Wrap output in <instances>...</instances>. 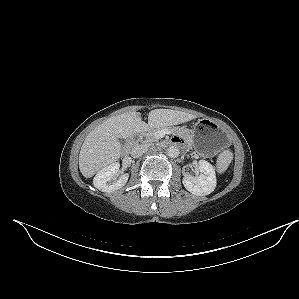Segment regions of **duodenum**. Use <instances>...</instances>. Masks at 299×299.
I'll list each match as a JSON object with an SVG mask.
<instances>
[{
    "instance_id": "410a0bca",
    "label": "duodenum",
    "mask_w": 299,
    "mask_h": 299,
    "mask_svg": "<svg viewBox=\"0 0 299 299\" xmlns=\"http://www.w3.org/2000/svg\"><path fill=\"white\" fill-rule=\"evenodd\" d=\"M174 142H176L175 139H173ZM135 141L134 140H129L126 145L124 146L123 152L127 154L129 150L134 146Z\"/></svg>"
}]
</instances>
